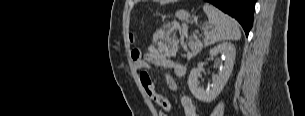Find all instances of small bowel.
Instances as JSON below:
<instances>
[{
    "label": "small bowel",
    "mask_w": 305,
    "mask_h": 116,
    "mask_svg": "<svg viewBox=\"0 0 305 116\" xmlns=\"http://www.w3.org/2000/svg\"><path fill=\"white\" fill-rule=\"evenodd\" d=\"M131 57L136 70H147L151 67V65H155L165 69H171L179 77L184 76L186 73V69L181 63L171 60L165 56L155 45H150L144 55L139 50H133ZM166 78L169 87L172 90H176L177 83L174 78L170 74H167ZM140 80L147 97L165 111L160 113V116H167V112L172 110L170 101L165 96L157 92L156 86L153 83L150 75L148 79L142 78L140 75ZM180 104L184 111V116L198 115L195 103L190 96H182L180 99Z\"/></svg>",
    "instance_id": "1"
}]
</instances>
